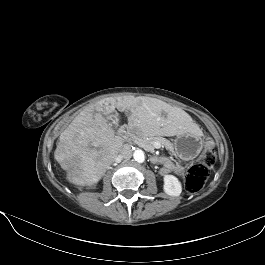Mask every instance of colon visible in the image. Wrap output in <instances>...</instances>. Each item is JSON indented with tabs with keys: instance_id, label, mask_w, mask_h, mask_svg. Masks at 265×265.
Masks as SVG:
<instances>
[{
	"instance_id": "obj_1",
	"label": "colon",
	"mask_w": 265,
	"mask_h": 265,
	"mask_svg": "<svg viewBox=\"0 0 265 265\" xmlns=\"http://www.w3.org/2000/svg\"><path fill=\"white\" fill-rule=\"evenodd\" d=\"M215 154L211 140L206 141V149L202 159L190 166L185 175V187L189 193L200 192L209 176L210 169L215 164Z\"/></svg>"
}]
</instances>
